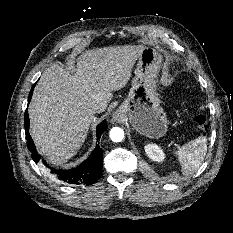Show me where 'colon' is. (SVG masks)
Instances as JSON below:
<instances>
[{
    "label": "colon",
    "instance_id": "5ec220e1",
    "mask_svg": "<svg viewBox=\"0 0 233 233\" xmlns=\"http://www.w3.org/2000/svg\"><path fill=\"white\" fill-rule=\"evenodd\" d=\"M192 118L198 129L202 132H206L208 129L207 117L201 112H195L192 114Z\"/></svg>",
    "mask_w": 233,
    "mask_h": 233
}]
</instances>
